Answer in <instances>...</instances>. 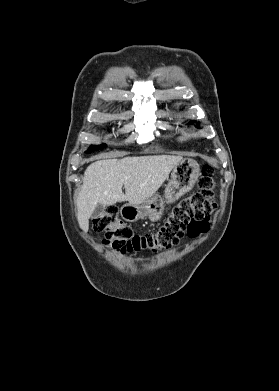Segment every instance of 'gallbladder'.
<instances>
[{
    "label": "gallbladder",
    "mask_w": 279,
    "mask_h": 391,
    "mask_svg": "<svg viewBox=\"0 0 279 391\" xmlns=\"http://www.w3.org/2000/svg\"><path fill=\"white\" fill-rule=\"evenodd\" d=\"M106 206L102 204H98L92 213V218H98L103 215L105 212Z\"/></svg>",
    "instance_id": "bac80fb5"
}]
</instances>
